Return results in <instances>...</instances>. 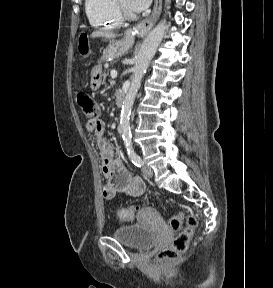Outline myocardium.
Returning <instances> with one entry per match:
<instances>
[{
    "mask_svg": "<svg viewBox=\"0 0 273 288\" xmlns=\"http://www.w3.org/2000/svg\"><path fill=\"white\" fill-rule=\"evenodd\" d=\"M115 2V7L117 9V12L119 14V16L122 18V19H125V20H134L136 19V15L131 12L129 9H127L122 3L120 0H114Z\"/></svg>",
    "mask_w": 273,
    "mask_h": 288,
    "instance_id": "myocardium-1",
    "label": "myocardium"
}]
</instances>
